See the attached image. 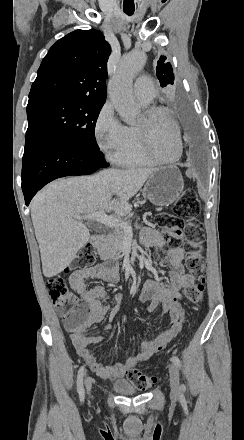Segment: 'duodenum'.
Returning <instances> with one entry per match:
<instances>
[{
    "instance_id": "obj_1",
    "label": "duodenum",
    "mask_w": 244,
    "mask_h": 440,
    "mask_svg": "<svg viewBox=\"0 0 244 440\" xmlns=\"http://www.w3.org/2000/svg\"><path fill=\"white\" fill-rule=\"evenodd\" d=\"M92 245L97 249L104 248V237L101 234H95L91 239Z\"/></svg>"
}]
</instances>
